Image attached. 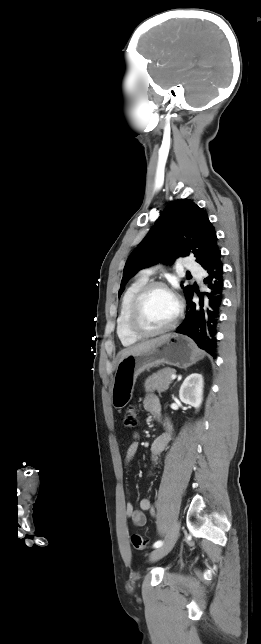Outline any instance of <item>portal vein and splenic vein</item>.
<instances>
[{"instance_id": "obj_1", "label": "portal vein and splenic vein", "mask_w": 261, "mask_h": 644, "mask_svg": "<svg viewBox=\"0 0 261 644\" xmlns=\"http://www.w3.org/2000/svg\"><path fill=\"white\" fill-rule=\"evenodd\" d=\"M176 377H177V376H176V374H172V375H171V379H172V380H175V379H176Z\"/></svg>"}]
</instances>
